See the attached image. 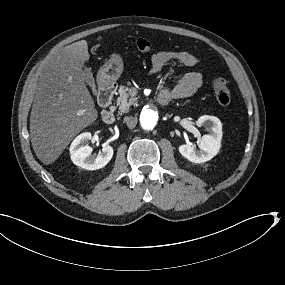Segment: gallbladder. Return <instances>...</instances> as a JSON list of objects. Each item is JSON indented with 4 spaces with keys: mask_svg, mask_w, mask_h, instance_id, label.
<instances>
[{
    "mask_svg": "<svg viewBox=\"0 0 285 285\" xmlns=\"http://www.w3.org/2000/svg\"><path fill=\"white\" fill-rule=\"evenodd\" d=\"M84 77H85V79H86L87 82L93 81V75H92L90 69L85 68Z\"/></svg>",
    "mask_w": 285,
    "mask_h": 285,
    "instance_id": "gallbladder-1",
    "label": "gallbladder"
}]
</instances>
